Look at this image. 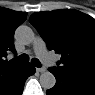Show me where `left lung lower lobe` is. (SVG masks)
<instances>
[{"label": "left lung lower lobe", "instance_id": "obj_1", "mask_svg": "<svg viewBox=\"0 0 95 95\" xmlns=\"http://www.w3.org/2000/svg\"><path fill=\"white\" fill-rule=\"evenodd\" d=\"M56 84L47 95H95V80L79 76L55 73Z\"/></svg>", "mask_w": 95, "mask_h": 95}]
</instances>
